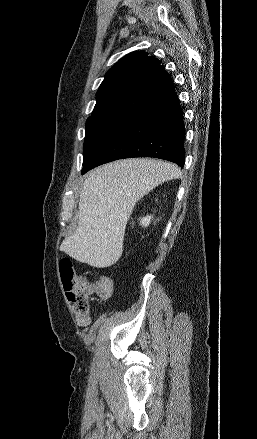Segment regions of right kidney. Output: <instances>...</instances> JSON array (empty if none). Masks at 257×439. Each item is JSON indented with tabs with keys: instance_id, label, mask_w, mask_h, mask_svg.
Returning <instances> with one entry per match:
<instances>
[{
	"instance_id": "right-kidney-1",
	"label": "right kidney",
	"mask_w": 257,
	"mask_h": 439,
	"mask_svg": "<svg viewBox=\"0 0 257 439\" xmlns=\"http://www.w3.org/2000/svg\"><path fill=\"white\" fill-rule=\"evenodd\" d=\"M150 221H151V216H146V217H144V218H141V220H140V224H141L143 227H147V226L150 224Z\"/></svg>"
}]
</instances>
